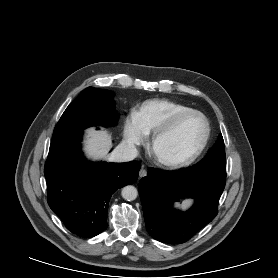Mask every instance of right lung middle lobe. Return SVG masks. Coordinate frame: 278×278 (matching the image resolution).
Masks as SVG:
<instances>
[{"label": "right lung middle lobe", "instance_id": "dd1d6c3e", "mask_svg": "<svg viewBox=\"0 0 278 278\" xmlns=\"http://www.w3.org/2000/svg\"><path fill=\"white\" fill-rule=\"evenodd\" d=\"M113 93L88 87L64 111L57 123L52 142L59 141L90 126H113L118 122Z\"/></svg>", "mask_w": 278, "mask_h": 278}]
</instances>
